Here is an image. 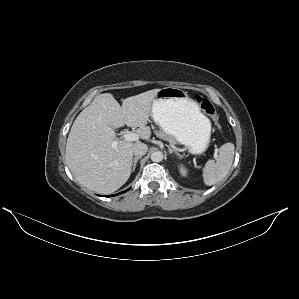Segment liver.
Wrapping results in <instances>:
<instances>
[{
    "label": "liver",
    "instance_id": "1",
    "mask_svg": "<svg viewBox=\"0 0 299 299\" xmlns=\"http://www.w3.org/2000/svg\"><path fill=\"white\" fill-rule=\"evenodd\" d=\"M160 89L123 100L110 93L97 95L75 119L66 143V163L78 183L101 194H109L126 183L132 168L133 148L140 141H118L112 128L138 127V136L149 140L147 126L152 103Z\"/></svg>",
    "mask_w": 299,
    "mask_h": 299
}]
</instances>
